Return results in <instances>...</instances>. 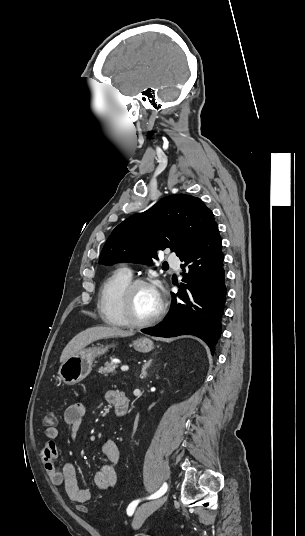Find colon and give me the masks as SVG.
<instances>
[{
  "label": "colon",
  "mask_w": 305,
  "mask_h": 536,
  "mask_svg": "<svg viewBox=\"0 0 305 536\" xmlns=\"http://www.w3.org/2000/svg\"><path fill=\"white\" fill-rule=\"evenodd\" d=\"M43 423L46 427H52L55 425V415L52 412H48L43 419ZM76 509L80 513H84L87 511L88 506L84 502H80L77 504Z\"/></svg>",
  "instance_id": "5ec220e1"
}]
</instances>
